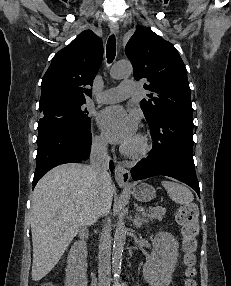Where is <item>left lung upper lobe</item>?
I'll list each match as a JSON object with an SVG mask.
<instances>
[{"label": "left lung upper lobe", "mask_w": 231, "mask_h": 286, "mask_svg": "<svg viewBox=\"0 0 231 286\" xmlns=\"http://www.w3.org/2000/svg\"><path fill=\"white\" fill-rule=\"evenodd\" d=\"M126 55L134 69V78L147 79L150 91L141 101V109L151 124L166 111L192 114L186 67L175 47L151 29L139 27L127 43Z\"/></svg>", "instance_id": "obj_1"}]
</instances>
